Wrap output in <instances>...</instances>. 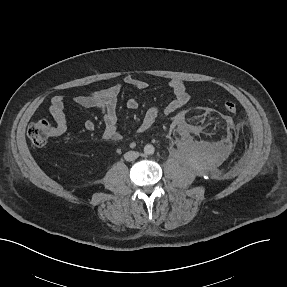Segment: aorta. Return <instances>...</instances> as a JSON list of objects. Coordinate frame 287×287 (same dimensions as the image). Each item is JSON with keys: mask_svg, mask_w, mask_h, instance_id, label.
Returning <instances> with one entry per match:
<instances>
[{"mask_svg": "<svg viewBox=\"0 0 287 287\" xmlns=\"http://www.w3.org/2000/svg\"><path fill=\"white\" fill-rule=\"evenodd\" d=\"M154 151H155V148H154L153 145L147 144V145L144 146V153L146 155H151V154L154 153Z\"/></svg>", "mask_w": 287, "mask_h": 287, "instance_id": "762f6f07", "label": "aorta"}]
</instances>
